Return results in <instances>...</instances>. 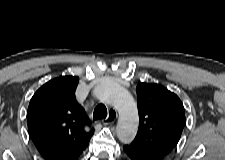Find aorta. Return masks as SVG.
Here are the masks:
<instances>
[{
	"label": "aorta",
	"mask_w": 225,
	"mask_h": 160,
	"mask_svg": "<svg viewBox=\"0 0 225 160\" xmlns=\"http://www.w3.org/2000/svg\"><path fill=\"white\" fill-rule=\"evenodd\" d=\"M93 96L117 109L119 113L117 137L122 143L132 142L138 129V112L129 92L114 81L104 80L96 85Z\"/></svg>",
	"instance_id": "aorta-1"
}]
</instances>
